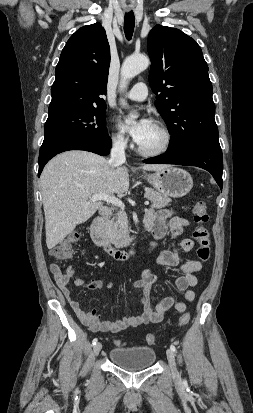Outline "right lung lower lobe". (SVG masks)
Returning <instances> with one entry per match:
<instances>
[{
  "label": "right lung lower lobe",
  "mask_w": 253,
  "mask_h": 413,
  "mask_svg": "<svg viewBox=\"0 0 253 413\" xmlns=\"http://www.w3.org/2000/svg\"><path fill=\"white\" fill-rule=\"evenodd\" d=\"M111 139L109 135L92 139L68 138L42 144L39 153V172L41 174L45 164L58 153L68 150H85L101 156L109 154Z\"/></svg>",
  "instance_id": "obj_1"
}]
</instances>
